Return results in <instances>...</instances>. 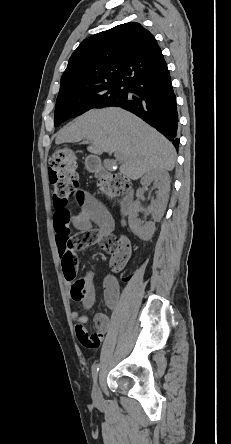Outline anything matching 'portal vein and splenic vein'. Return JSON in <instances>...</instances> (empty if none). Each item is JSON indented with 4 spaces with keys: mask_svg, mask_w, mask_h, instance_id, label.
<instances>
[{
    "mask_svg": "<svg viewBox=\"0 0 231 444\" xmlns=\"http://www.w3.org/2000/svg\"><path fill=\"white\" fill-rule=\"evenodd\" d=\"M114 156L117 160H122V156L120 153H115Z\"/></svg>",
    "mask_w": 231,
    "mask_h": 444,
    "instance_id": "portal-vein-and-splenic-vein-1",
    "label": "portal vein and splenic vein"
}]
</instances>
